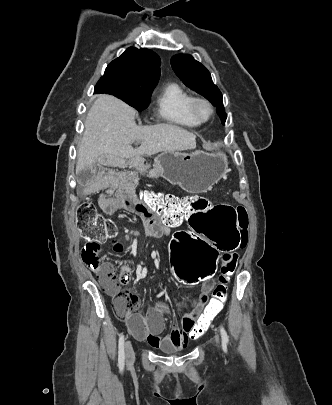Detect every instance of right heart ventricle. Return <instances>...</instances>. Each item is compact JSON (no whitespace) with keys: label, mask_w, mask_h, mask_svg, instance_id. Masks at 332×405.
Listing matches in <instances>:
<instances>
[{"label":"right heart ventricle","mask_w":332,"mask_h":405,"mask_svg":"<svg viewBox=\"0 0 332 405\" xmlns=\"http://www.w3.org/2000/svg\"><path fill=\"white\" fill-rule=\"evenodd\" d=\"M192 95L177 83H169L159 90L155 98L156 114L164 122L183 127H197L201 123L189 113Z\"/></svg>","instance_id":"1"}]
</instances>
